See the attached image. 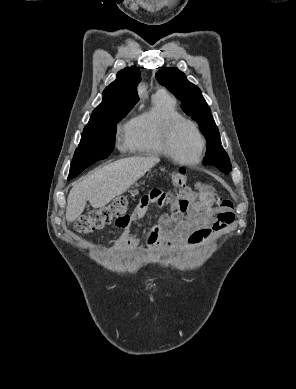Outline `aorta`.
Returning <instances> with one entry per match:
<instances>
[{
	"label": "aorta",
	"instance_id": "1",
	"mask_svg": "<svg viewBox=\"0 0 296 389\" xmlns=\"http://www.w3.org/2000/svg\"><path fill=\"white\" fill-rule=\"evenodd\" d=\"M139 92H141V93L144 92V86L143 85L139 86Z\"/></svg>",
	"mask_w": 296,
	"mask_h": 389
}]
</instances>
